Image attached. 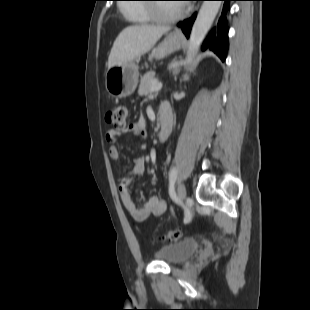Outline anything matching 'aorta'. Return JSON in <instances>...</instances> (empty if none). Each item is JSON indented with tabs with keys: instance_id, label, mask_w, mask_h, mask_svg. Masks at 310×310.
<instances>
[{
	"instance_id": "obj_1",
	"label": "aorta",
	"mask_w": 310,
	"mask_h": 310,
	"mask_svg": "<svg viewBox=\"0 0 310 310\" xmlns=\"http://www.w3.org/2000/svg\"><path fill=\"white\" fill-rule=\"evenodd\" d=\"M221 3V1L203 2L190 34L187 62L191 61L199 50L205 35L220 9Z\"/></svg>"
}]
</instances>
